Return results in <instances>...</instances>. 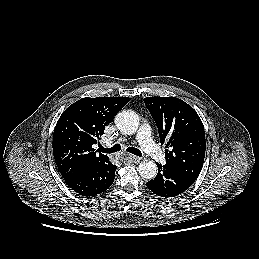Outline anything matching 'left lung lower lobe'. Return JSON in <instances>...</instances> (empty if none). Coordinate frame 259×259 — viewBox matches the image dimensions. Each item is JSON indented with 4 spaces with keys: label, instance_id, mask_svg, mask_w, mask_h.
<instances>
[{
    "label": "left lung lower lobe",
    "instance_id": "1",
    "mask_svg": "<svg viewBox=\"0 0 259 259\" xmlns=\"http://www.w3.org/2000/svg\"><path fill=\"white\" fill-rule=\"evenodd\" d=\"M156 164L158 166L157 176L146 183L148 189L153 193L165 198L175 197L191 186L192 183L188 179L179 175L172 168L167 165Z\"/></svg>",
    "mask_w": 259,
    "mask_h": 259
}]
</instances>
